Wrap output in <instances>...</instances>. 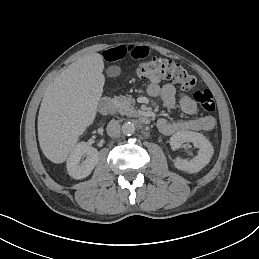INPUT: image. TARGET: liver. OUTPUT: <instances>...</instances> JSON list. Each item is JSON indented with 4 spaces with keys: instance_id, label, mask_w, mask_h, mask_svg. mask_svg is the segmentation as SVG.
I'll use <instances>...</instances> for the list:
<instances>
[{
    "instance_id": "obj_1",
    "label": "liver",
    "mask_w": 259,
    "mask_h": 259,
    "mask_svg": "<svg viewBox=\"0 0 259 259\" xmlns=\"http://www.w3.org/2000/svg\"><path fill=\"white\" fill-rule=\"evenodd\" d=\"M103 69L102 55H86L47 86L39 109L38 139L53 163L64 162L93 123L105 83Z\"/></svg>"
}]
</instances>
